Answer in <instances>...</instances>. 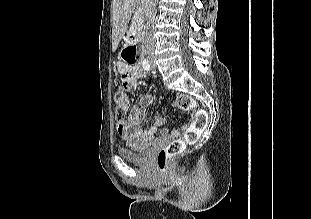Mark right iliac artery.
<instances>
[{
	"label": "right iliac artery",
	"instance_id": "right-iliac-artery-1",
	"mask_svg": "<svg viewBox=\"0 0 311 219\" xmlns=\"http://www.w3.org/2000/svg\"><path fill=\"white\" fill-rule=\"evenodd\" d=\"M142 65H143V68L145 69V70H150V63H149V61L148 60H143V62H142Z\"/></svg>",
	"mask_w": 311,
	"mask_h": 219
}]
</instances>
